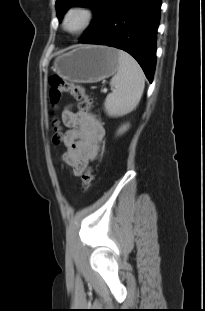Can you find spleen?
Returning <instances> with one entry per match:
<instances>
[{"mask_svg": "<svg viewBox=\"0 0 205 311\" xmlns=\"http://www.w3.org/2000/svg\"><path fill=\"white\" fill-rule=\"evenodd\" d=\"M119 68L111 79L112 92L105 99V108L110 116L131 112L141 99L145 75L138 62L127 52L118 50Z\"/></svg>", "mask_w": 205, "mask_h": 311, "instance_id": "3e777b00", "label": "spleen"}]
</instances>
